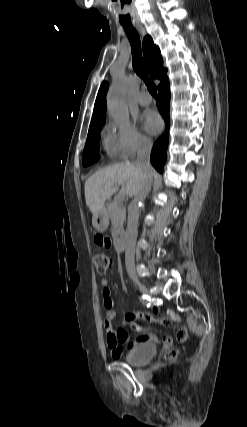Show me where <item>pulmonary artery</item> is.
<instances>
[{"instance_id":"obj_1","label":"pulmonary artery","mask_w":247,"mask_h":427,"mask_svg":"<svg viewBox=\"0 0 247 427\" xmlns=\"http://www.w3.org/2000/svg\"><path fill=\"white\" fill-rule=\"evenodd\" d=\"M151 102H152V98L148 94H142L138 98V103L141 106H147V105L151 104Z\"/></svg>"}]
</instances>
